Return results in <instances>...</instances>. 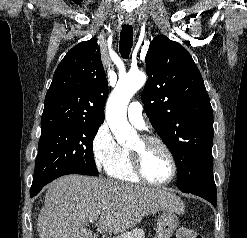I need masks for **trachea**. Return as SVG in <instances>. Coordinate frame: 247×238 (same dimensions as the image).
Returning a JSON list of instances; mask_svg holds the SVG:
<instances>
[{
    "label": "trachea",
    "instance_id": "obj_1",
    "mask_svg": "<svg viewBox=\"0 0 247 238\" xmlns=\"http://www.w3.org/2000/svg\"><path fill=\"white\" fill-rule=\"evenodd\" d=\"M133 43V27L131 25H124L120 33L119 51L124 59L129 57Z\"/></svg>",
    "mask_w": 247,
    "mask_h": 238
}]
</instances>
